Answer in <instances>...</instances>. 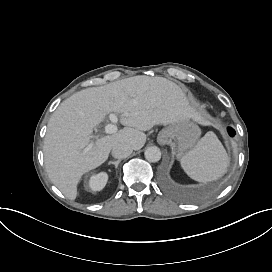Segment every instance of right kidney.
Listing matches in <instances>:
<instances>
[{"mask_svg":"<svg viewBox=\"0 0 272 272\" xmlns=\"http://www.w3.org/2000/svg\"><path fill=\"white\" fill-rule=\"evenodd\" d=\"M108 181V175L106 172H100L93 174L89 179V187L92 191H101Z\"/></svg>","mask_w":272,"mask_h":272,"instance_id":"1","label":"right kidney"}]
</instances>
